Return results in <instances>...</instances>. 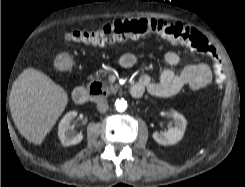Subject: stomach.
Listing matches in <instances>:
<instances>
[{
  "label": "stomach",
  "mask_w": 245,
  "mask_h": 187,
  "mask_svg": "<svg viewBox=\"0 0 245 187\" xmlns=\"http://www.w3.org/2000/svg\"><path fill=\"white\" fill-rule=\"evenodd\" d=\"M72 64V56L67 52L58 54L54 59V67L60 71L70 69L72 67Z\"/></svg>",
  "instance_id": "1"
}]
</instances>
